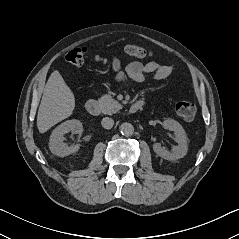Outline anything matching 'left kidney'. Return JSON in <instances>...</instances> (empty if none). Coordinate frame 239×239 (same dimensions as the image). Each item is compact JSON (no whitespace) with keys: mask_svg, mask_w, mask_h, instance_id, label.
<instances>
[{"mask_svg":"<svg viewBox=\"0 0 239 239\" xmlns=\"http://www.w3.org/2000/svg\"><path fill=\"white\" fill-rule=\"evenodd\" d=\"M162 126L164 129L174 132L178 146L174 147L173 150L170 152L164 147H162L160 143H154L153 144L154 152L158 156L169 161H175L180 158H183L188 151L187 136L183 127L180 125V123H178L173 119L164 120Z\"/></svg>","mask_w":239,"mask_h":239,"instance_id":"5707ae66","label":"left kidney"}]
</instances>
